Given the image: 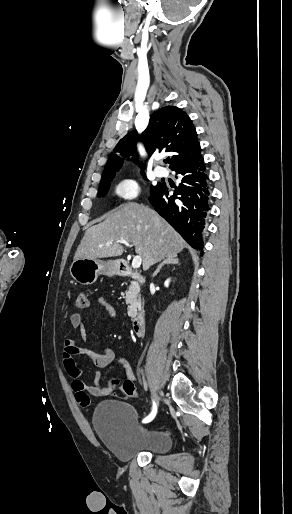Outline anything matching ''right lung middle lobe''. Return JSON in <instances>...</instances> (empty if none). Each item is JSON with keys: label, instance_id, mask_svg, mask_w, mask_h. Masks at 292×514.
<instances>
[{"label": "right lung middle lobe", "instance_id": "dd1d6c3e", "mask_svg": "<svg viewBox=\"0 0 292 514\" xmlns=\"http://www.w3.org/2000/svg\"><path fill=\"white\" fill-rule=\"evenodd\" d=\"M143 177L145 178V173H142ZM113 178L111 179H107V180H104V181H101L100 182V186H99V190H98V197H104L107 193H108V190H109V187H110V182L112 181ZM146 179V178H145ZM147 180V179H146ZM161 183H158L157 185H159ZM156 185V186H157ZM156 186H151L150 187V190H152L153 188H155Z\"/></svg>", "mask_w": 292, "mask_h": 514}]
</instances>
